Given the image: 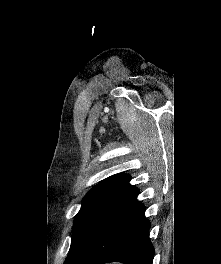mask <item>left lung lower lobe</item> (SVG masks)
Here are the masks:
<instances>
[{"label": "left lung lower lobe", "mask_w": 221, "mask_h": 264, "mask_svg": "<svg viewBox=\"0 0 221 264\" xmlns=\"http://www.w3.org/2000/svg\"><path fill=\"white\" fill-rule=\"evenodd\" d=\"M136 189L112 209L69 253L64 264H152L150 222L137 201Z\"/></svg>", "instance_id": "left-lung-lower-lobe-1"}]
</instances>
